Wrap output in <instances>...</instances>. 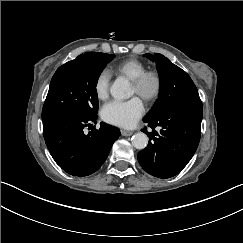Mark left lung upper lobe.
<instances>
[{
	"label": "left lung upper lobe",
	"mask_w": 243,
	"mask_h": 243,
	"mask_svg": "<svg viewBox=\"0 0 243 243\" xmlns=\"http://www.w3.org/2000/svg\"><path fill=\"white\" fill-rule=\"evenodd\" d=\"M145 56L156 63L160 77V93L155 105L143 121L149 122L156 119L176 103L188 100L201 101L195 84L184 70L161 54H145Z\"/></svg>",
	"instance_id": "left-lung-upper-lobe-1"
}]
</instances>
